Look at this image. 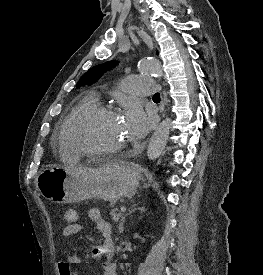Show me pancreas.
I'll return each instance as SVG.
<instances>
[{
    "label": "pancreas",
    "mask_w": 263,
    "mask_h": 275,
    "mask_svg": "<svg viewBox=\"0 0 263 275\" xmlns=\"http://www.w3.org/2000/svg\"><path fill=\"white\" fill-rule=\"evenodd\" d=\"M110 215L115 221H118L122 217V213H120L117 208L112 209Z\"/></svg>",
    "instance_id": "pancreas-1"
}]
</instances>
